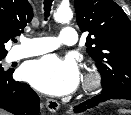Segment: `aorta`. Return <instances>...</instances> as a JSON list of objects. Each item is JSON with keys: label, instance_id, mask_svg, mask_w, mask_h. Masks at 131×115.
<instances>
[{"label": "aorta", "instance_id": "1", "mask_svg": "<svg viewBox=\"0 0 131 115\" xmlns=\"http://www.w3.org/2000/svg\"><path fill=\"white\" fill-rule=\"evenodd\" d=\"M73 13L71 9L69 8H59L55 13H54V19L57 22H68L72 19Z\"/></svg>", "mask_w": 131, "mask_h": 115}]
</instances>
